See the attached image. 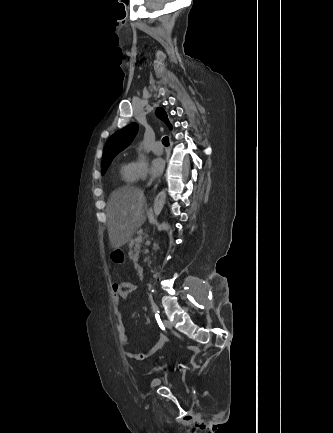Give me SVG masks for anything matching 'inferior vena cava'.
Returning a JSON list of instances; mask_svg holds the SVG:
<instances>
[{
	"label": "inferior vena cava",
	"instance_id": "obj_1",
	"mask_svg": "<svg viewBox=\"0 0 333 433\" xmlns=\"http://www.w3.org/2000/svg\"><path fill=\"white\" fill-rule=\"evenodd\" d=\"M152 182H153V179L151 178L149 183H148V186H150L152 184Z\"/></svg>",
	"mask_w": 333,
	"mask_h": 433
}]
</instances>
